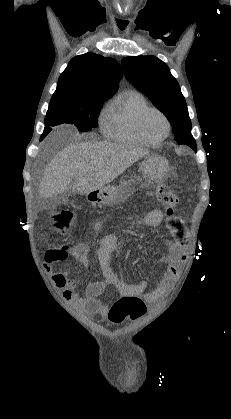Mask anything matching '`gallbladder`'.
<instances>
[{"mask_svg":"<svg viewBox=\"0 0 231 419\" xmlns=\"http://www.w3.org/2000/svg\"><path fill=\"white\" fill-rule=\"evenodd\" d=\"M58 203H65L68 201V194L62 193L56 197Z\"/></svg>","mask_w":231,"mask_h":419,"instance_id":"1","label":"gallbladder"}]
</instances>
